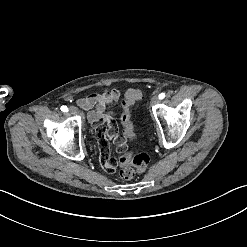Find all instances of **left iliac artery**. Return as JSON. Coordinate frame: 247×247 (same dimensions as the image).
Masks as SVG:
<instances>
[{
  "mask_svg": "<svg viewBox=\"0 0 247 247\" xmlns=\"http://www.w3.org/2000/svg\"><path fill=\"white\" fill-rule=\"evenodd\" d=\"M165 98V93H160L159 94V99H164Z\"/></svg>",
  "mask_w": 247,
  "mask_h": 247,
  "instance_id": "1",
  "label": "left iliac artery"
}]
</instances>
